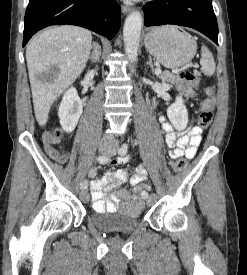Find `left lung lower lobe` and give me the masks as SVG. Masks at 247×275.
I'll use <instances>...</instances> for the list:
<instances>
[{"instance_id": "0a47b994", "label": "left lung lower lobe", "mask_w": 247, "mask_h": 275, "mask_svg": "<svg viewBox=\"0 0 247 275\" xmlns=\"http://www.w3.org/2000/svg\"><path fill=\"white\" fill-rule=\"evenodd\" d=\"M145 26L175 24L196 29L218 45L212 0H155L143 6Z\"/></svg>"}]
</instances>
